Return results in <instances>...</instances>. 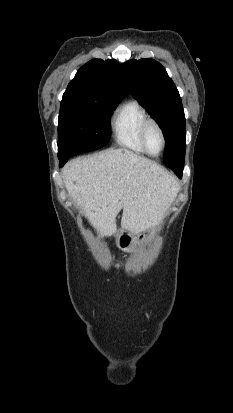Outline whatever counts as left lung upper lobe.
<instances>
[{
  "label": "left lung upper lobe",
  "mask_w": 233,
  "mask_h": 413,
  "mask_svg": "<svg viewBox=\"0 0 233 413\" xmlns=\"http://www.w3.org/2000/svg\"><path fill=\"white\" fill-rule=\"evenodd\" d=\"M130 93L156 119L166 139L164 164L174 170L185 158V116L178 90L164 67L153 59L122 64Z\"/></svg>",
  "instance_id": "obj_1"
}]
</instances>
